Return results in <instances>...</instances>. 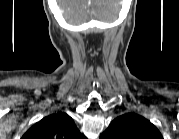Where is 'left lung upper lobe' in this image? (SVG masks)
Listing matches in <instances>:
<instances>
[{
	"instance_id": "obj_1",
	"label": "left lung upper lobe",
	"mask_w": 179,
	"mask_h": 139,
	"mask_svg": "<svg viewBox=\"0 0 179 139\" xmlns=\"http://www.w3.org/2000/svg\"><path fill=\"white\" fill-rule=\"evenodd\" d=\"M103 139H163L159 130L147 119L127 113L114 119L102 134Z\"/></svg>"
}]
</instances>
